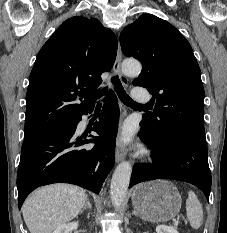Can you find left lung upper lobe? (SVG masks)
<instances>
[{
  "label": "left lung upper lobe",
  "instance_id": "obj_1",
  "mask_svg": "<svg viewBox=\"0 0 227 233\" xmlns=\"http://www.w3.org/2000/svg\"><path fill=\"white\" fill-rule=\"evenodd\" d=\"M120 44L143 65L133 85L147 88L155 102L142 130L155 140L183 135L206 145L201 71L185 37L167 21L143 14L123 29Z\"/></svg>",
  "mask_w": 227,
  "mask_h": 233
}]
</instances>
